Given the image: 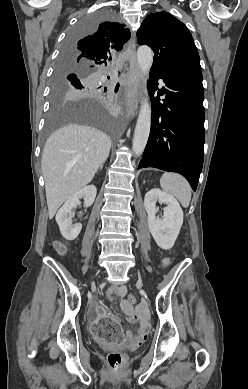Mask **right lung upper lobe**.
<instances>
[{"mask_svg": "<svg viewBox=\"0 0 248 389\" xmlns=\"http://www.w3.org/2000/svg\"><path fill=\"white\" fill-rule=\"evenodd\" d=\"M129 38L130 31L124 25L103 22L94 32L75 41L62 53L63 64L95 71L98 66L106 65L112 59L111 54L120 51Z\"/></svg>", "mask_w": 248, "mask_h": 389, "instance_id": "right-lung-upper-lobe-1", "label": "right lung upper lobe"}]
</instances>
